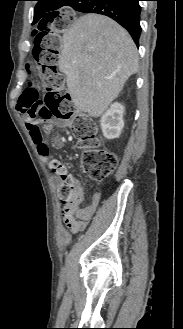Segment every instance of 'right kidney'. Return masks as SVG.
I'll use <instances>...</instances> for the list:
<instances>
[{"label":"right kidney","instance_id":"right-kidney-1","mask_svg":"<svg viewBox=\"0 0 183 329\" xmlns=\"http://www.w3.org/2000/svg\"><path fill=\"white\" fill-rule=\"evenodd\" d=\"M123 114L124 106L121 103L115 102L102 116L100 125L105 138L114 139L120 136L124 127Z\"/></svg>","mask_w":183,"mask_h":329}]
</instances>
